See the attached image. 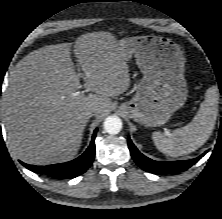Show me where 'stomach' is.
Listing matches in <instances>:
<instances>
[{
    "mask_svg": "<svg viewBox=\"0 0 222 219\" xmlns=\"http://www.w3.org/2000/svg\"><path fill=\"white\" fill-rule=\"evenodd\" d=\"M117 47L127 62L135 58L143 74L136 95L121 109L139 124H165L188 96L181 48L169 38L154 35L122 38Z\"/></svg>",
    "mask_w": 222,
    "mask_h": 219,
    "instance_id": "1",
    "label": "stomach"
}]
</instances>
